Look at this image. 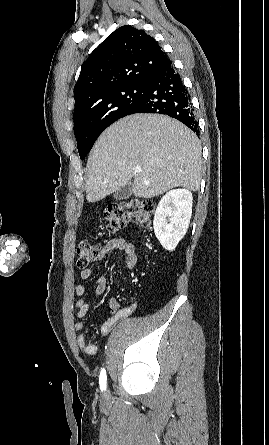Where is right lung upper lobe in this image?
<instances>
[{
	"instance_id": "cb5924a9",
	"label": "right lung upper lobe",
	"mask_w": 269,
	"mask_h": 445,
	"mask_svg": "<svg viewBox=\"0 0 269 445\" xmlns=\"http://www.w3.org/2000/svg\"><path fill=\"white\" fill-rule=\"evenodd\" d=\"M167 58L156 40L125 25L111 33L82 65L74 88L75 110L86 101L122 86L145 84Z\"/></svg>"
}]
</instances>
